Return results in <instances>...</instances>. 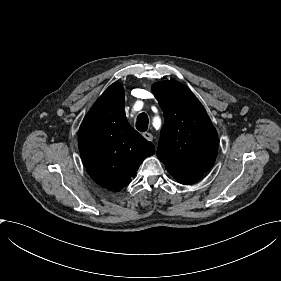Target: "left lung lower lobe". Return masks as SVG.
Instances as JSON below:
<instances>
[{"label":"left lung lower lobe","mask_w":281,"mask_h":281,"mask_svg":"<svg viewBox=\"0 0 281 281\" xmlns=\"http://www.w3.org/2000/svg\"><path fill=\"white\" fill-rule=\"evenodd\" d=\"M178 182L182 184H191L198 181L203 174L200 175H185L177 172H169Z\"/></svg>","instance_id":"left-lung-lower-lobe-1"}]
</instances>
